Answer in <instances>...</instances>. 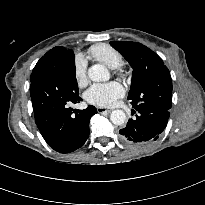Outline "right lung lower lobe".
Returning <instances> with one entry per match:
<instances>
[{"label": "right lung lower lobe", "instance_id": "right-lung-lower-lobe-1", "mask_svg": "<svg viewBox=\"0 0 205 205\" xmlns=\"http://www.w3.org/2000/svg\"><path fill=\"white\" fill-rule=\"evenodd\" d=\"M73 60L74 53L69 50L54 67L32 78L30 85L37 127L48 145L60 153H70L85 143L90 118L97 113L92 105L84 110L68 107L82 100L75 71L69 66Z\"/></svg>", "mask_w": 205, "mask_h": 205}]
</instances>
